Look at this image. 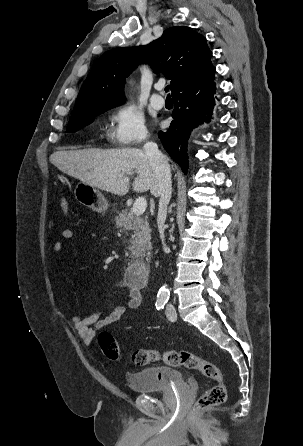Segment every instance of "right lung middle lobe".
Returning a JSON list of instances; mask_svg holds the SVG:
<instances>
[{
  "label": "right lung middle lobe",
  "instance_id": "1",
  "mask_svg": "<svg viewBox=\"0 0 303 446\" xmlns=\"http://www.w3.org/2000/svg\"><path fill=\"white\" fill-rule=\"evenodd\" d=\"M113 107H115V106H112V105L101 106V107L94 108L90 111L84 112V113L71 115L70 121L67 125L66 132L78 131L82 127L90 124L93 121V118H92L93 116H96L110 108H113Z\"/></svg>",
  "mask_w": 303,
  "mask_h": 446
}]
</instances>
